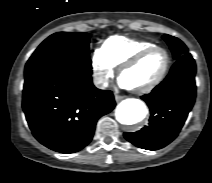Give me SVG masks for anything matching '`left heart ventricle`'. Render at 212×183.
I'll return each mask as SVG.
<instances>
[{
    "mask_svg": "<svg viewBox=\"0 0 212 183\" xmlns=\"http://www.w3.org/2000/svg\"><path fill=\"white\" fill-rule=\"evenodd\" d=\"M165 60L166 56L162 50L153 51L137 65L125 71L121 79L128 87H143L160 74L165 65Z\"/></svg>",
    "mask_w": 212,
    "mask_h": 183,
    "instance_id": "1",
    "label": "left heart ventricle"
}]
</instances>
